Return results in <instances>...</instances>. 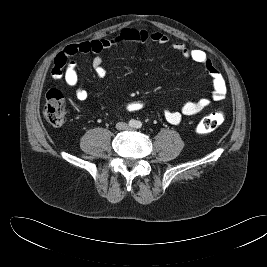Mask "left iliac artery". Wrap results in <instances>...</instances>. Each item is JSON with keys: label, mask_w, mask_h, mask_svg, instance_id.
Here are the masks:
<instances>
[{"label": "left iliac artery", "mask_w": 267, "mask_h": 267, "mask_svg": "<svg viewBox=\"0 0 267 267\" xmlns=\"http://www.w3.org/2000/svg\"><path fill=\"white\" fill-rule=\"evenodd\" d=\"M141 127H142V123H141L140 121H137V122H136V128L139 129V128H141Z\"/></svg>", "instance_id": "obj_1"}]
</instances>
